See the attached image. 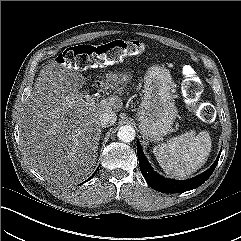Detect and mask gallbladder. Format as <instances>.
<instances>
[{"mask_svg":"<svg viewBox=\"0 0 241 241\" xmlns=\"http://www.w3.org/2000/svg\"><path fill=\"white\" fill-rule=\"evenodd\" d=\"M74 75H78V73L77 72H74L73 73ZM78 84H80V85H82L83 83H84V81H83V79L82 78H79V80L78 81H76Z\"/></svg>","mask_w":241,"mask_h":241,"instance_id":"obj_1","label":"gallbladder"}]
</instances>
